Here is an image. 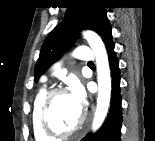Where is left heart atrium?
<instances>
[{
	"mask_svg": "<svg viewBox=\"0 0 155 141\" xmlns=\"http://www.w3.org/2000/svg\"><path fill=\"white\" fill-rule=\"evenodd\" d=\"M69 96L71 97V99L75 103V105L80 110H82V108L85 104V93H84L82 86L79 84H73L71 87Z\"/></svg>",
	"mask_w": 155,
	"mask_h": 141,
	"instance_id": "39dd6f15",
	"label": "left heart atrium"
}]
</instances>
